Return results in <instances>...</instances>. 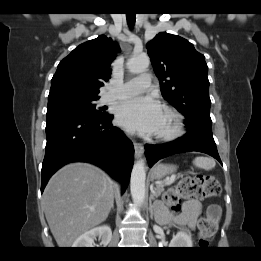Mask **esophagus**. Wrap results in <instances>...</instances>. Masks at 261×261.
Here are the masks:
<instances>
[{
	"label": "esophagus",
	"instance_id": "1",
	"mask_svg": "<svg viewBox=\"0 0 261 261\" xmlns=\"http://www.w3.org/2000/svg\"><path fill=\"white\" fill-rule=\"evenodd\" d=\"M135 156L140 157L144 154V147L140 143H134Z\"/></svg>",
	"mask_w": 261,
	"mask_h": 261
}]
</instances>
